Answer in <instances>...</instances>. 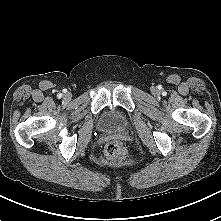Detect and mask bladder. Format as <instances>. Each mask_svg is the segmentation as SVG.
<instances>
[{
    "label": "bladder",
    "instance_id": "31cf9c89",
    "mask_svg": "<svg viewBox=\"0 0 221 221\" xmlns=\"http://www.w3.org/2000/svg\"><path fill=\"white\" fill-rule=\"evenodd\" d=\"M128 124L127 116L116 108H107L99 119V126L104 131H123Z\"/></svg>",
    "mask_w": 221,
    "mask_h": 221
}]
</instances>
